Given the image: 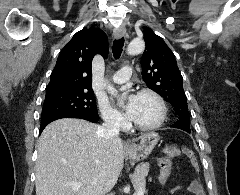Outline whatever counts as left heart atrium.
<instances>
[{
    "label": "left heart atrium",
    "mask_w": 240,
    "mask_h": 195,
    "mask_svg": "<svg viewBox=\"0 0 240 195\" xmlns=\"http://www.w3.org/2000/svg\"><path fill=\"white\" fill-rule=\"evenodd\" d=\"M136 102H137V96L136 95H130L128 97L127 101H126L125 111L130 118L134 114Z\"/></svg>",
    "instance_id": "1"
}]
</instances>
